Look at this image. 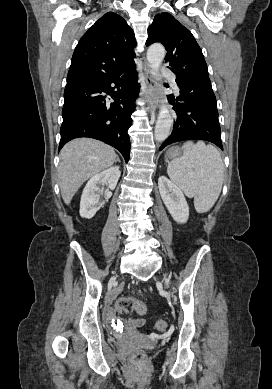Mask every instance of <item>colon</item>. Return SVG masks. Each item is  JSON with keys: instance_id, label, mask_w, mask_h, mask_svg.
<instances>
[{"instance_id": "1", "label": "colon", "mask_w": 272, "mask_h": 389, "mask_svg": "<svg viewBox=\"0 0 272 389\" xmlns=\"http://www.w3.org/2000/svg\"><path fill=\"white\" fill-rule=\"evenodd\" d=\"M115 310L119 314L136 313L143 315L147 311L146 304L135 297H121L116 301ZM156 328L159 331H164L167 328V323L164 320L156 322ZM131 362L136 366H142L146 362V355L141 350L133 351L130 355Z\"/></svg>"}]
</instances>
